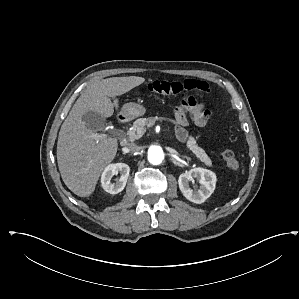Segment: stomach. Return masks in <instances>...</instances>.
Wrapping results in <instances>:
<instances>
[{
    "label": "stomach",
    "mask_w": 299,
    "mask_h": 299,
    "mask_svg": "<svg viewBox=\"0 0 299 299\" xmlns=\"http://www.w3.org/2000/svg\"><path fill=\"white\" fill-rule=\"evenodd\" d=\"M145 112L146 109L143 105L130 102V103H126L123 106L121 113L126 119H134L144 115Z\"/></svg>",
    "instance_id": "1"
}]
</instances>
